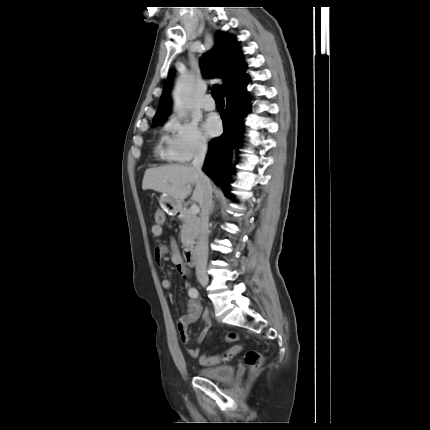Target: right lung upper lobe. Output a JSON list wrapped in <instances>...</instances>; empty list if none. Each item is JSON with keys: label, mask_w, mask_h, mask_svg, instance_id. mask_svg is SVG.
<instances>
[{"label": "right lung upper lobe", "mask_w": 430, "mask_h": 430, "mask_svg": "<svg viewBox=\"0 0 430 430\" xmlns=\"http://www.w3.org/2000/svg\"><path fill=\"white\" fill-rule=\"evenodd\" d=\"M241 57L242 52L237 47V41L222 32H217L214 47L202 57L201 66L205 75L223 80L222 87L226 93L230 88L236 87L247 78L245 74L247 65L241 60ZM170 88L171 80L167 79L153 121H161L169 115Z\"/></svg>", "instance_id": "right-lung-upper-lobe-1"}]
</instances>
